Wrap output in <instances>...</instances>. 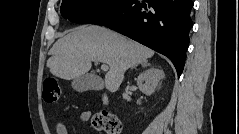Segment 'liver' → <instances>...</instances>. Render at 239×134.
<instances>
[{"label":"liver","instance_id":"obj_1","mask_svg":"<svg viewBox=\"0 0 239 134\" xmlns=\"http://www.w3.org/2000/svg\"><path fill=\"white\" fill-rule=\"evenodd\" d=\"M47 67L51 74L70 80L86 74L92 62L109 65L105 86L118 90L130 67L145 63L154 55L150 48L105 27L83 25L60 38L51 48Z\"/></svg>","mask_w":239,"mask_h":134}]
</instances>
